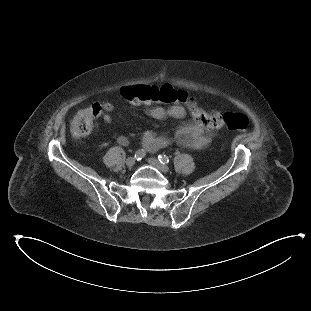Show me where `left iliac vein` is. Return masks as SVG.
<instances>
[{
  "mask_svg": "<svg viewBox=\"0 0 311 311\" xmlns=\"http://www.w3.org/2000/svg\"><path fill=\"white\" fill-rule=\"evenodd\" d=\"M148 163L157 168L159 171L163 172V173H168L169 172V167L165 164L160 163L157 159L155 158H148L147 159Z\"/></svg>",
  "mask_w": 311,
  "mask_h": 311,
  "instance_id": "obj_1",
  "label": "left iliac vein"
}]
</instances>
